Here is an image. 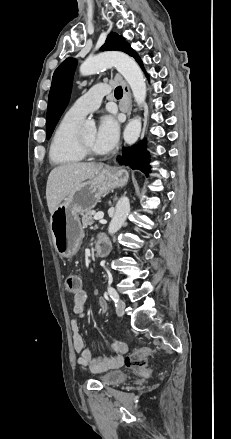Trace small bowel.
<instances>
[{"label": "small bowel", "instance_id": "c3829d8e", "mask_svg": "<svg viewBox=\"0 0 231 439\" xmlns=\"http://www.w3.org/2000/svg\"><path fill=\"white\" fill-rule=\"evenodd\" d=\"M89 295V290L84 286L78 287L77 294L73 295V312L79 319L85 318L84 305ZM97 311L99 314H105L107 312V303L104 298H99L97 302ZM71 328L73 331V346L75 352L79 355L77 362L80 366L87 367L92 372H101L122 365L123 354L127 351V346L124 342L115 341L112 344L115 351V354L112 356L93 357L91 351L85 348L84 340L79 332V323L77 319L71 321Z\"/></svg>", "mask_w": 231, "mask_h": 439}]
</instances>
